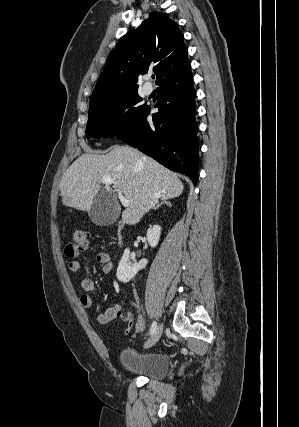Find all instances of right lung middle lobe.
Listing matches in <instances>:
<instances>
[{
    "instance_id": "dd1d6c3e",
    "label": "right lung middle lobe",
    "mask_w": 299,
    "mask_h": 427,
    "mask_svg": "<svg viewBox=\"0 0 299 427\" xmlns=\"http://www.w3.org/2000/svg\"><path fill=\"white\" fill-rule=\"evenodd\" d=\"M141 101L134 91L90 103L87 137L118 136L132 129L149 108L138 105Z\"/></svg>"
}]
</instances>
